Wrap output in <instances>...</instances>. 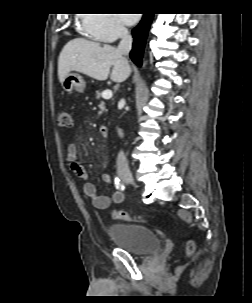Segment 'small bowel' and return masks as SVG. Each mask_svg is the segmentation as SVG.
Returning a JSON list of instances; mask_svg holds the SVG:
<instances>
[{
    "instance_id": "small-bowel-1",
    "label": "small bowel",
    "mask_w": 252,
    "mask_h": 303,
    "mask_svg": "<svg viewBox=\"0 0 252 303\" xmlns=\"http://www.w3.org/2000/svg\"><path fill=\"white\" fill-rule=\"evenodd\" d=\"M78 148L77 145L72 143L67 146L66 162L70 171L81 179L87 178L85 169L78 163ZM102 182L105 185L112 184V178L109 174L102 175ZM84 194L91 200L92 205L97 209H108L113 204L121 203L124 200V194L122 191H116L112 197L107 195L98 194L94 184L85 182L83 185Z\"/></svg>"
}]
</instances>
